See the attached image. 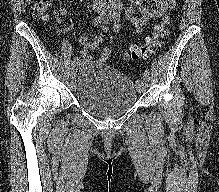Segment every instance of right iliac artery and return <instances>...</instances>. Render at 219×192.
Segmentation results:
<instances>
[{"mask_svg":"<svg viewBox=\"0 0 219 192\" xmlns=\"http://www.w3.org/2000/svg\"><path fill=\"white\" fill-rule=\"evenodd\" d=\"M116 5L114 4H108L99 15H97L93 20V25L96 26L99 23H101L104 19H106L107 16L111 14L112 11H114ZM76 65V60H73L71 63V69H73Z\"/></svg>","mask_w":219,"mask_h":192,"instance_id":"82829eb1","label":"right iliac artery"}]
</instances>
